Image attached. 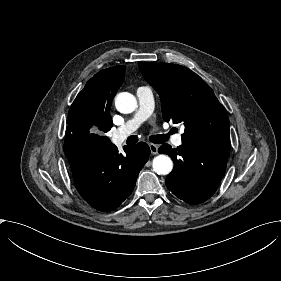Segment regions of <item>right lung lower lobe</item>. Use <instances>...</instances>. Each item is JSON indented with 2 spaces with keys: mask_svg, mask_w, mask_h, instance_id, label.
Listing matches in <instances>:
<instances>
[{
  "mask_svg": "<svg viewBox=\"0 0 281 281\" xmlns=\"http://www.w3.org/2000/svg\"><path fill=\"white\" fill-rule=\"evenodd\" d=\"M125 154L105 136L65 138L64 152L77 190L93 208L116 209L133 191L137 176L149 159L145 142L124 146Z\"/></svg>",
  "mask_w": 281,
  "mask_h": 281,
  "instance_id": "right-lung-lower-lobe-1",
  "label": "right lung lower lobe"
}]
</instances>
